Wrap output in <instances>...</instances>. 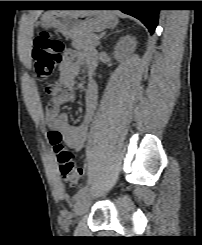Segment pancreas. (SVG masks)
Listing matches in <instances>:
<instances>
[{
  "label": "pancreas",
  "instance_id": "1",
  "mask_svg": "<svg viewBox=\"0 0 202 245\" xmlns=\"http://www.w3.org/2000/svg\"><path fill=\"white\" fill-rule=\"evenodd\" d=\"M97 35L93 32H84L73 39L72 46L77 50L93 49L99 44L96 42Z\"/></svg>",
  "mask_w": 202,
  "mask_h": 245
}]
</instances>
